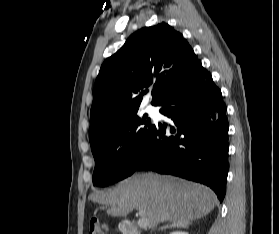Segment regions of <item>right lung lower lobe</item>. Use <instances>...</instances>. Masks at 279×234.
Masks as SVG:
<instances>
[{"instance_id": "obj_1", "label": "right lung lower lobe", "mask_w": 279, "mask_h": 234, "mask_svg": "<svg viewBox=\"0 0 279 234\" xmlns=\"http://www.w3.org/2000/svg\"><path fill=\"white\" fill-rule=\"evenodd\" d=\"M173 121L155 125L136 170L151 169L211 187L222 202L228 175V120L221 91L201 62L161 104ZM170 128L171 136L165 135Z\"/></svg>"}]
</instances>
